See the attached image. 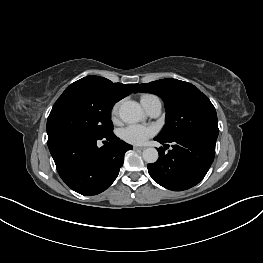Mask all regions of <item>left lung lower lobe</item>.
I'll list each match as a JSON object with an SVG mask.
<instances>
[{
  "instance_id": "1",
  "label": "left lung lower lobe",
  "mask_w": 263,
  "mask_h": 263,
  "mask_svg": "<svg viewBox=\"0 0 263 263\" xmlns=\"http://www.w3.org/2000/svg\"><path fill=\"white\" fill-rule=\"evenodd\" d=\"M155 140L161 144L173 142L168 153L162 147L157 149L159 159L147 165L150 176L169 190L182 191L195 186L204 178L214 160L215 138L185 136L171 141Z\"/></svg>"
}]
</instances>
